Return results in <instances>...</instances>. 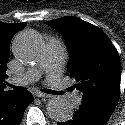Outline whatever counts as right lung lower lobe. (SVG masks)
<instances>
[{"label":"right lung lower lobe","mask_w":125,"mask_h":125,"mask_svg":"<svg viewBox=\"0 0 125 125\" xmlns=\"http://www.w3.org/2000/svg\"><path fill=\"white\" fill-rule=\"evenodd\" d=\"M33 101L29 91L0 96V125H20L27 106Z\"/></svg>","instance_id":"1"}]
</instances>
